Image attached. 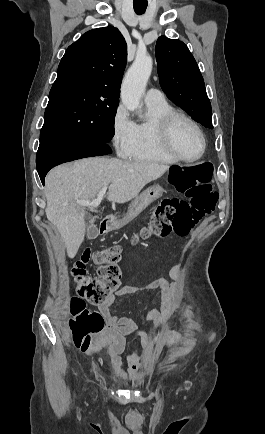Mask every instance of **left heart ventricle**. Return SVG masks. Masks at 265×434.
<instances>
[{
    "instance_id": "obj_1",
    "label": "left heart ventricle",
    "mask_w": 265,
    "mask_h": 434,
    "mask_svg": "<svg viewBox=\"0 0 265 434\" xmlns=\"http://www.w3.org/2000/svg\"><path fill=\"white\" fill-rule=\"evenodd\" d=\"M173 140L179 154L186 159H193L201 153L200 136L190 124L184 121L176 124Z\"/></svg>"
}]
</instances>
